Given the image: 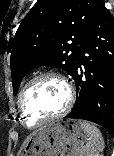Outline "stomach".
Returning <instances> with one entry per match:
<instances>
[{"label": "stomach", "mask_w": 114, "mask_h": 156, "mask_svg": "<svg viewBox=\"0 0 114 156\" xmlns=\"http://www.w3.org/2000/svg\"><path fill=\"white\" fill-rule=\"evenodd\" d=\"M87 141L80 120L50 123L31 135L21 156H77Z\"/></svg>", "instance_id": "1"}]
</instances>
